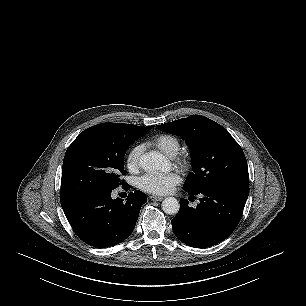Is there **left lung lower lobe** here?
I'll return each instance as SVG.
<instances>
[{"label": "left lung lower lobe", "mask_w": 306, "mask_h": 306, "mask_svg": "<svg viewBox=\"0 0 306 306\" xmlns=\"http://www.w3.org/2000/svg\"><path fill=\"white\" fill-rule=\"evenodd\" d=\"M190 195L200 194L196 208L181 199L180 210L172 219L175 236L183 243L205 248L225 240L237 227L245 206L249 188L219 185Z\"/></svg>", "instance_id": "1"}]
</instances>
